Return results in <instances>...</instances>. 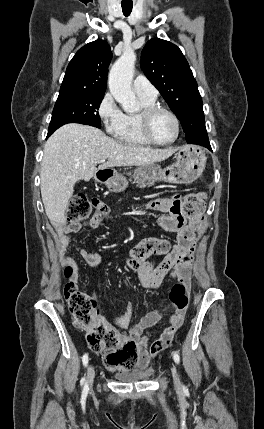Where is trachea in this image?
<instances>
[{
    "label": "trachea",
    "mask_w": 264,
    "mask_h": 429,
    "mask_svg": "<svg viewBox=\"0 0 264 429\" xmlns=\"http://www.w3.org/2000/svg\"><path fill=\"white\" fill-rule=\"evenodd\" d=\"M121 6H122L123 14L126 17L129 16L132 11L133 4H121Z\"/></svg>",
    "instance_id": "obj_1"
}]
</instances>
